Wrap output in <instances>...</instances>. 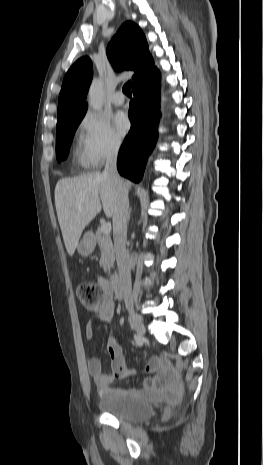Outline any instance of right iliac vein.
<instances>
[{
    "instance_id": "obj_1",
    "label": "right iliac vein",
    "mask_w": 263,
    "mask_h": 465,
    "mask_svg": "<svg viewBox=\"0 0 263 465\" xmlns=\"http://www.w3.org/2000/svg\"><path fill=\"white\" fill-rule=\"evenodd\" d=\"M130 321H131L133 328L137 331L138 335L144 338L146 334V328L144 326L142 319L134 312H130Z\"/></svg>"
}]
</instances>
